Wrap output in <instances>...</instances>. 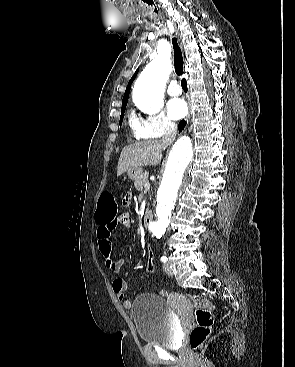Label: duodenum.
Instances as JSON below:
<instances>
[{
    "label": "duodenum",
    "mask_w": 295,
    "mask_h": 367,
    "mask_svg": "<svg viewBox=\"0 0 295 367\" xmlns=\"http://www.w3.org/2000/svg\"><path fill=\"white\" fill-rule=\"evenodd\" d=\"M152 219H153L152 213L151 212H146L144 217H143V225H144L145 228H148V226L152 222Z\"/></svg>",
    "instance_id": "1"
}]
</instances>
